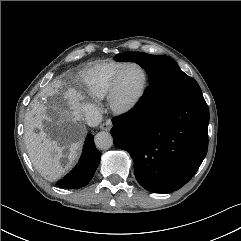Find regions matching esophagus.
Returning <instances> with one entry per match:
<instances>
[{
    "instance_id": "esophagus-1",
    "label": "esophagus",
    "mask_w": 241,
    "mask_h": 241,
    "mask_svg": "<svg viewBox=\"0 0 241 241\" xmlns=\"http://www.w3.org/2000/svg\"><path fill=\"white\" fill-rule=\"evenodd\" d=\"M112 127L111 121H106L100 125V129L104 131H109Z\"/></svg>"
}]
</instances>
